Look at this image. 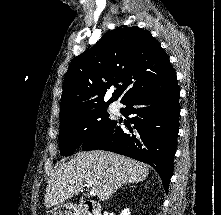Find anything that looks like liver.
Returning <instances> with one entry per match:
<instances>
[{
	"instance_id": "1",
	"label": "liver",
	"mask_w": 221,
	"mask_h": 215,
	"mask_svg": "<svg viewBox=\"0 0 221 215\" xmlns=\"http://www.w3.org/2000/svg\"><path fill=\"white\" fill-rule=\"evenodd\" d=\"M148 175L149 166L131 158L101 150L79 152L51 173L45 206L64 203L85 185L97 190L100 201H107L123 184L142 182Z\"/></svg>"
}]
</instances>
